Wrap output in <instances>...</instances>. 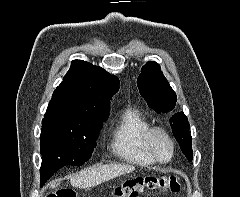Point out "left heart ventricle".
<instances>
[{
    "label": "left heart ventricle",
    "instance_id": "b2bd125f",
    "mask_svg": "<svg viewBox=\"0 0 240 197\" xmlns=\"http://www.w3.org/2000/svg\"><path fill=\"white\" fill-rule=\"evenodd\" d=\"M153 148L156 154L161 159H167L171 153L169 141L161 134H158L153 139Z\"/></svg>",
    "mask_w": 240,
    "mask_h": 197
}]
</instances>
